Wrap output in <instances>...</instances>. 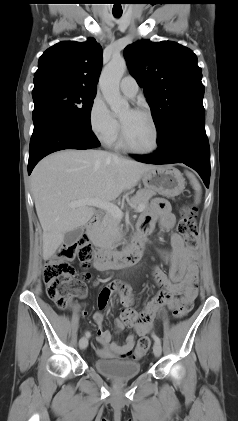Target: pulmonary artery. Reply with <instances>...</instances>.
I'll return each instance as SVG.
<instances>
[{
  "mask_svg": "<svg viewBox=\"0 0 238 421\" xmlns=\"http://www.w3.org/2000/svg\"><path fill=\"white\" fill-rule=\"evenodd\" d=\"M120 89L124 95L132 98L137 94L139 86L134 77L125 76L120 82Z\"/></svg>",
  "mask_w": 238,
  "mask_h": 421,
  "instance_id": "1",
  "label": "pulmonary artery"
}]
</instances>
